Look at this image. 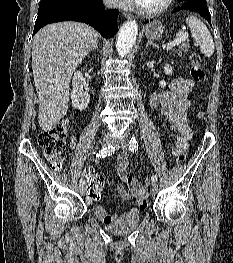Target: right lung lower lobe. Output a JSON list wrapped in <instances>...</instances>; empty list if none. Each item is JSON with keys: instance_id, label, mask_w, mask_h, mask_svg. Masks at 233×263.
Segmentation results:
<instances>
[{"instance_id": "1", "label": "right lung lower lobe", "mask_w": 233, "mask_h": 263, "mask_svg": "<svg viewBox=\"0 0 233 263\" xmlns=\"http://www.w3.org/2000/svg\"><path fill=\"white\" fill-rule=\"evenodd\" d=\"M118 14L116 9L104 11L102 0H80L72 11H56L37 18L33 35L46 24L73 20L89 24L103 37L110 38L118 31Z\"/></svg>"}]
</instances>
